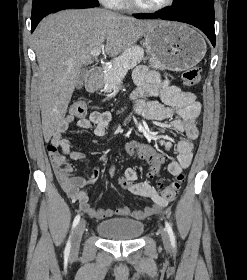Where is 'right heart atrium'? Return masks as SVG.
Instances as JSON below:
<instances>
[{
  "label": "right heart atrium",
  "mask_w": 247,
  "mask_h": 280,
  "mask_svg": "<svg viewBox=\"0 0 247 280\" xmlns=\"http://www.w3.org/2000/svg\"><path fill=\"white\" fill-rule=\"evenodd\" d=\"M102 4L113 7L116 6L120 0H99Z\"/></svg>",
  "instance_id": "d8ad5b80"
}]
</instances>
